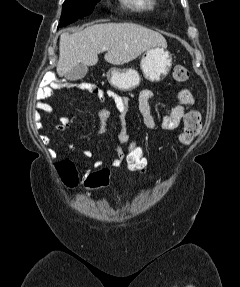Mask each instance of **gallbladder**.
<instances>
[{"label":"gallbladder","mask_w":240,"mask_h":287,"mask_svg":"<svg viewBox=\"0 0 240 287\" xmlns=\"http://www.w3.org/2000/svg\"><path fill=\"white\" fill-rule=\"evenodd\" d=\"M88 67L82 63L75 66L68 73L65 74V78L69 81H77L86 76Z\"/></svg>","instance_id":"1"}]
</instances>
